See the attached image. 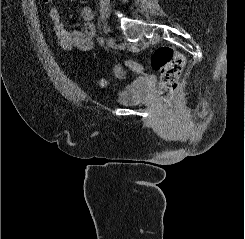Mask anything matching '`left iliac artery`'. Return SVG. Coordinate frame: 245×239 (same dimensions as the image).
I'll return each instance as SVG.
<instances>
[{"label":"left iliac artery","mask_w":245,"mask_h":239,"mask_svg":"<svg viewBox=\"0 0 245 239\" xmlns=\"http://www.w3.org/2000/svg\"><path fill=\"white\" fill-rule=\"evenodd\" d=\"M99 43H100L101 45L104 44V38H103L102 36L99 37Z\"/></svg>","instance_id":"obj_1"}]
</instances>
